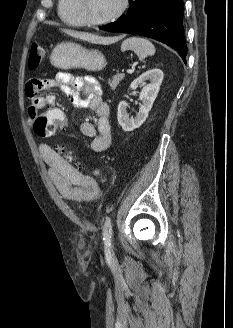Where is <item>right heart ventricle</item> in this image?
<instances>
[{"label":"right heart ventricle","mask_w":233,"mask_h":328,"mask_svg":"<svg viewBox=\"0 0 233 328\" xmlns=\"http://www.w3.org/2000/svg\"><path fill=\"white\" fill-rule=\"evenodd\" d=\"M58 14L60 19L69 26L80 27L85 23L76 9V0H59Z\"/></svg>","instance_id":"e07e8e85"}]
</instances>
